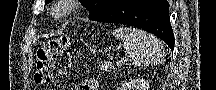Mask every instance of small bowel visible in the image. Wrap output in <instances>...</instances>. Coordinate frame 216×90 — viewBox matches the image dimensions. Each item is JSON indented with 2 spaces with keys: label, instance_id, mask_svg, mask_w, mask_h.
Segmentation results:
<instances>
[{
  "label": "small bowel",
  "instance_id": "c3829d8e",
  "mask_svg": "<svg viewBox=\"0 0 216 90\" xmlns=\"http://www.w3.org/2000/svg\"><path fill=\"white\" fill-rule=\"evenodd\" d=\"M61 73H64L63 71ZM98 84L94 79H84L78 84L76 90H97Z\"/></svg>",
  "mask_w": 216,
  "mask_h": 90
}]
</instances>
